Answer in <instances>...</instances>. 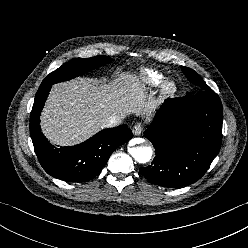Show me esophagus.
<instances>
[{
  "label": "esophagus",
  "mask_w": 248,
  "mask_h": 248,
  "mask_svg": "<svg viewBox=\"0 0 248 248\" xmlns=\"http://www.w3.org/2000/svg\"><path fill=\"white\" fill-rule=\"evenodd\" d=\"M133 134L138 136L143 132V125L141 123H136L132 129Z\"/></svg>",
  "instance_id": "1"
}]
</instances>
